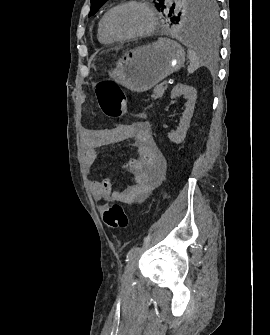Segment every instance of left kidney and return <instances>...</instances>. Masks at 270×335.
<instances>
[{"label":"left kidney","mask_w":270,"mask_h":335,"mask_svg":"<svg viewBox=\"0 0 270 335\" xmlns=\"http://www.w3.org/2000/svg\"><path fill=\"white\" fill-rule=\"evenodd\" d=\"M180 94H183L184 98H186L187 104H185L186 108L185 112H183L179 128H177L176 132H170V134H168L169 140L175 142V144H181L186 136L197 98L195 88L185 86V84H177V86H174L171 92V98H177Z\"/></svg>","instance_id":"1"}]
</instances>
